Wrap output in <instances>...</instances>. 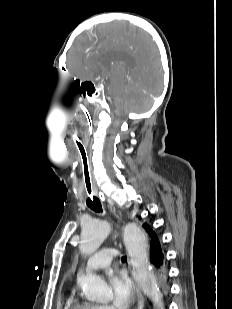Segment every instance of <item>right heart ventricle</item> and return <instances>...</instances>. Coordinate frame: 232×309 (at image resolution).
<instances>
[{"instance_id": "e07e8e85", "label": "right heart ventricle", "mask_w": 232, "mask_h": 309, "mask_svg": "<svg viewBox=\"0 0 232 309\" xmlns=\"http://www.w3.org/2000/svg\"><path fill=\"white\" fill-rule=\"evenodd\" d=\"M66 309H97V305L73 294L69 298Z\"/></svg>"}]
</instances>
